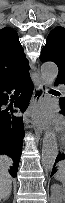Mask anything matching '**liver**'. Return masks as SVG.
Returning a JSON list of instances; mask_svg holds the SVG:
<instances>
[{
    "mask_svg": "<svg viewBox=\"0 0 65 203\" xmlns=\"http://www.w3.org/2000/svg\"><path fill=\"white\" fill-rule=\"evenodd\" d=\"M13 161L10 157L0 156V199L3 200L10 195L12 189V180L8 172Z\"/></svg>",
    "mask_w": 65,
    "mask_h": 203,
    "instance_id": "obj_1",
    "label": "liver"
}]
</instances>
